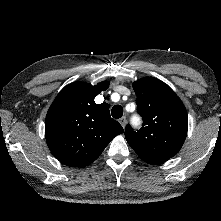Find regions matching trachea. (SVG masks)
Instances as JSON below:
<instances>
[{
  "instance_id": "trachea-1",
  "label": "trachea",
  "mask_w": 221,
  "mask_h": 221,
  "mask_svg": "<svg viewBox=\"0 0 221 221\" xmlns=\"http://www.w3.org/2000/svg\"><path fill=\"white\" fill-rule=\"evenodd\" d=\"M111 115L113 118L118 119L123 115V108L120 105H115L111 110Z\"/></svg>"
}]
</instances>
